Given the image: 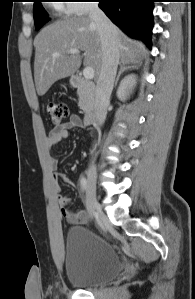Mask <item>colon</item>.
Segmentation results:
<instances>
[{
  "label": "colon",
  "instance_id": "colon-1",
  "mask_svg": "<svg viewBox=\"0 0 195 299\" xmlns=\"http://www.w3.org/2000/svg\"><path fill=\"white\" fill-rule=\"evenodd\" d=\"M46 109L53 124L61 123L69 114L68 105L62 101H49Z\"/></svg>",
  "mask_w": 195,
  "mask_h": 299
}]
</instances>
